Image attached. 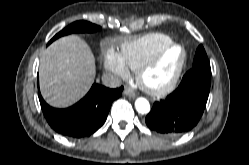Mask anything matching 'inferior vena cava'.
I'll use <instances>...</instances> for the list:
<instances>
[{
	"label": "inferior vena cava",
	"instance_id": "602c4592",
	"mask_svg": "<svg viewBox=\"0 0 249 165\" xmlns=\"http://www.w3.org/2000/svg\"><path fill=\"white\" fill-rule=\"evenodd\" d=\"M102 83L107 87L117 88L121 85L122 82L118 76L108 73L102 75Z\"/></svg>",
	"mask_w": 249,
	"mask_h": 165
}]
</instances>
